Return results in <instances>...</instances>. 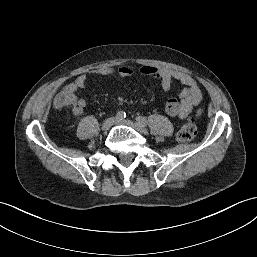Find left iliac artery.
I'll use <instances>...</instances> for the list:
<instances>
[{
    "instance_id": "obj_1",
    "label": "left iliac artery",
    "mask_w": 257,
    "mask_h": 257,
    "mask_svg": "<svg viewBox=\"0 0 257 257\" xmlns=\"http://www.w3.org/2000/svg\"><path fill=\"white\" fill-rule=\"evenodd\" d=\"M136 121L141 124L142 126H146L147 125V120L142 117V116H138L136 117Z\"/></svg>"
}]
</instances>
